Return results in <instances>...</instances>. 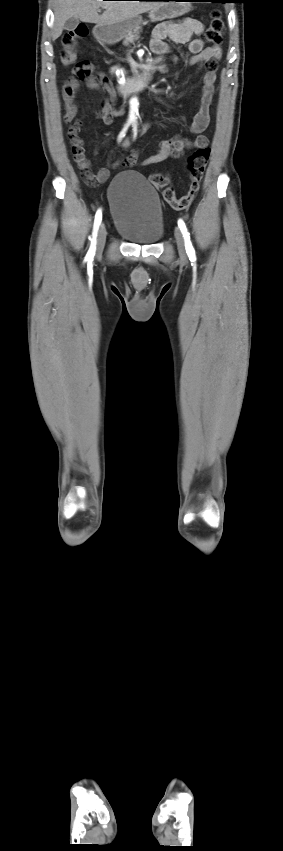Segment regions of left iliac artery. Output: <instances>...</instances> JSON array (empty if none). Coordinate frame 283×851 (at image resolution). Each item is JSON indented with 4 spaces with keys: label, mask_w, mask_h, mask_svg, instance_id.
<instances>
[{
    "label": "left iliac artery",
    "mask_w": 283,
    "mask_h": 851,
    "mask_svg": "<svg viewBox=\"0 0 283 851\" xmlns=\"http://www.w3.org/2000/svg\"><path fill=\"white\" fill-rule=\"evenodd\" d=\"M178 226H179L181 232L183 233V236H184V239H185L186 252H187V254L190 258H194L195 257V250H194L192 243L190 241V236H189V233L187 231V228H186L184 221L179 219L178 220Z\"/></svg>",
    "instance_id": "obj_1"
}]
</instances>
